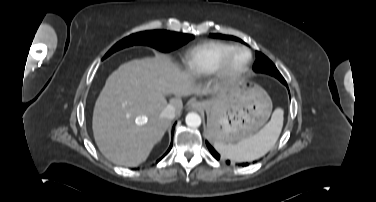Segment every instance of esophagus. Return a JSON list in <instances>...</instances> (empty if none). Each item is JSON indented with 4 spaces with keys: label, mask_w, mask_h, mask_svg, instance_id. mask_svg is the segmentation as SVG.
Instances as JSON below:
<instances>
[{
    "label": "esophagus",
    "mask_w": 376,
    "mask_h": 202,
    "mask_svg": "<svg viewBox=\"0 0 376 202\" xmlns=\"http://www.w3.org/2000/svg\"><path fill=\"white\" fill-rule=\"evenodd\" d=\"M189 107L194 110H200L202 109V104L198 101H193Z\"/></svg>",
    "instance_id": "obj_1"
}]
</instances>
